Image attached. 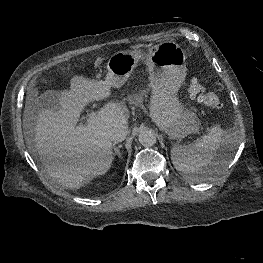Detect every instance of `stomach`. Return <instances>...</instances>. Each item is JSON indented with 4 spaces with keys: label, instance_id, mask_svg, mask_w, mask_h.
I'll use <instances>...</instances> for the list:
<instances>
[{
    "label": "stomach",
    "instance_id": "0dacf381",
    "mask_svg": "<svg viewBox=\"0 0 263 263\" xmlns=\"http://www.w3.org/2000/svg\"><path fill=\"white\" fill-rule=\"evenodd\" d=\"M139 61L149 71L151 86L150 116L171 138L181 140L198 130L197 116L184 109L177 93L186 77V55L172 40L162 41L144 52L141 49L118 51L107 62L105 81L113 88L125 84Z\"/></svg>",
    "mask_w": 263,
    "mask_h": 263
}]
</instances>
